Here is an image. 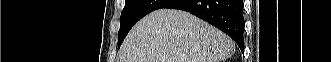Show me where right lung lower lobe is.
I'll list each match as a JSON object with an SVG mask.
<instances>
[{"instance_id":"98d812e1","label":"right lung lower lobe","mask_w":331,"mask_h":62,"mask_svg":"<svg viewBox=\"0 0 331 62\" xmlns=\"http://www.w3.org/2000/svg\"><path fill=\"white\" fill-rule=\"evenodd\" d=\"M163 8L180 9L228 34L244 52L243 0H172Z\"/></svg>"}]
</instances>
